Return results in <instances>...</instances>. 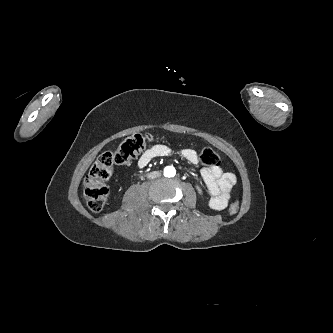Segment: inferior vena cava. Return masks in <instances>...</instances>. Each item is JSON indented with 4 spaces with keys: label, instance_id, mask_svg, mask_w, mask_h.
I'll return each instance as SVG.
<instances>
[{
    "label": "inferior vena cava",
    "instance_id": "1",
    "mask_svg": "<svg viewBox=\"0 0 333 333\" xmlns=\"http://www.w3.org/2000/svg\"><path fill=\"white\" fill-rule=\"evenodd\" d=\"M161 174L158 172V171H153V172H150L147 177L149 179H155V178H158Z\"/></svg>",
    "mask_w": 333,
    "mask_h": 333
}]
</instances>
